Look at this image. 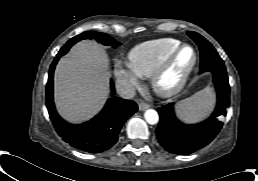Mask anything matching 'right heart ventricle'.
<instances>
[{
  "mask_svg": "<svg viewBox=\"0 0 258 181\" xmlns=\"http://www.w3.org/2000/svg\"><path fill=\"white\" fill-rule=\"evenodd\" d=\"M180 44L174 38L143 42L130 50L127 65L138 77L150 78L158 65Z\"/></svg>",
  "mask_w": 258,
  "mask_h": 181,
  "instance_id": "obj_1",
  "label": "right heart ventricle"
}]
</instances>
